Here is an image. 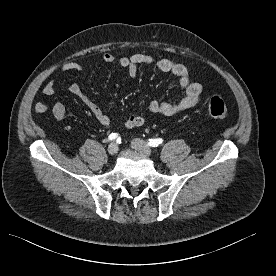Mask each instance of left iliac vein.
<instances>
[{
	"label": "left iliac vein",
	"instance_id": "left-iliac-vein-1",
	"mask_svg": "<svg viewBox=\"0 0 276 276\" xmlns=\"http://www.w3.org/2000/svg\"><path fill=\"white\" fill-rule=\"evenodd\" d=\"M131 145L134 149L145 156H151L152 154V149L148 146V144L139 138L133 139Z\"/></svg>",
	"mask_w": 276,
	"mask_h": 276
}]
</instances>
